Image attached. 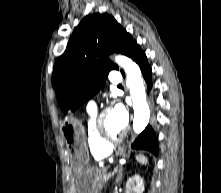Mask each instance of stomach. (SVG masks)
<instances>
[{
	"label": "stomach",
	"instance_id": "0dacf381",
	"mask_svg": "<svg viewBox=\"0 0 221 193\" xmlns=\"http://www.w3.org/2000/svg\"><path fill=\"white\" fill-rule=\"evenodd\" d=\"M60 134H64V138L68 142L69 155H72V167H74L77 182L76 193H95V182H98L99 179V169L96 164L88 162L84 125L79 120H62Z\"/></svg>",
	"mask_w": 221,
	"mask_h": 193
}]
</instances>
